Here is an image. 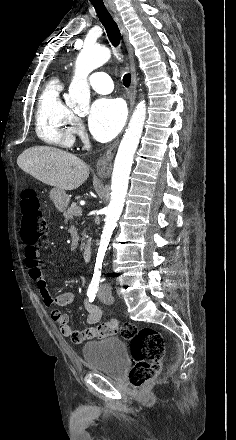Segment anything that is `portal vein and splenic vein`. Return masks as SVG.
<instances>
[{
	"label": "portal vein and splenic vein",
	"mask_w": 236,
	"mask_h": 440,
	"mask_svg": "<svg viewBox=\"0 0 236 440\" xmlns=\"http://www.w3.org/2000/svg\"><path fill=\"white\" fill-rule=\"evenodd\" d=\"M81 212H82L81 209H78V210H77V213H78V214H81Z\"/></svg>",
	"instance_id": "portal-vein-and-splenic-vein-1"
}]
</instances>
